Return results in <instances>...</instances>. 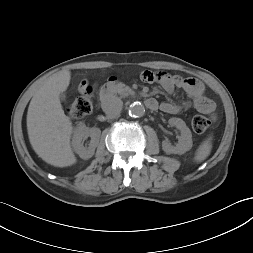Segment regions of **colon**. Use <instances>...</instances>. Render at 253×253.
<instances>
[{
  "mask_svg": "<svg viewBox=\"0 0 253 253\" xmlns=\"http://www.w3.org/2000/svg\"><path fill=\"white\" fill-rule=\"evenodd\" d=\"M92 88L85 87L79 96L71 100L67 107L68 115L71 118H82L92 111ZM192 129L195 133H204L210 126V120L204 115H196L191 121Z\"/></svg>",
  "mask_w": 253,
  "mask_h": 253,
  "instance_id": "obj_1",
  "label": "colon"
}]
</instances>
